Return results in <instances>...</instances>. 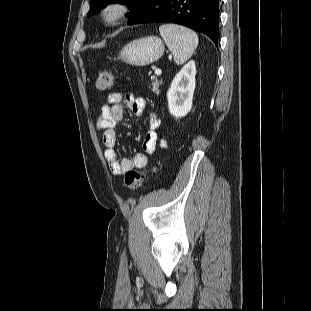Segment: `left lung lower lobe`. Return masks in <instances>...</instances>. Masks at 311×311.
Instances as JSON below:
<instances>
[{
  "instance_id": "1",
  "label": "left lung lower lobe",
  "mask_w": 311,
  "mask_h": 311,
  "mask_svg": "<svg viewBox=\"0 0 311 311\" xmlns=\"http://www.w3.org/2000/svg\"><path fill=\"white\" fill-rule=\"evenodd\" d=\"M128 24L171 22L219 38V0H143L129 15Z\"/></svg>"
}]
</instances>
